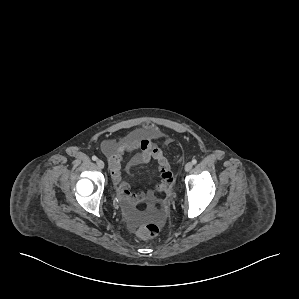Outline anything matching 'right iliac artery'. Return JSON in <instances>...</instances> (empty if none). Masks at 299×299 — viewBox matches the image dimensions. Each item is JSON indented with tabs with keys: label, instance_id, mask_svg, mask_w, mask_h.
<instances>
[{
	"label": "right iliac artery",
	"instance_id": "82829eb1",
	"mask_svg": "<svg viewBox=\"0 0 299 299\" xmlns=\"http://www.w3.org/2000/svg\"><path fill=\"white\" fill-rule=\"evenodd\" d=\"M92 160H93V161H96V160H97V157H96V156H92Z\"/></svg>",
	"mask_w": 299,
	"mask_h": 299
}]
</instances>
